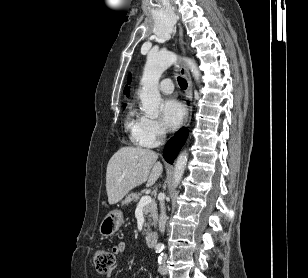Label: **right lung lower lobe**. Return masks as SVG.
I'll list each match as a JSON object with an SVG mask.
<instances>
[{"label":"right lung lower lobe","mask_w":308,"mask_h":278,"mask_svg":"<svg viewBox=\"0 0 308 278\" xmlns=\"http://www.w3.org/2000/svg\"><path fill=\"white\" fill-rule=\"evenodd\" d=\"M187 137L188 130L183 128L179 130V132L167 142L163 151V156L168 163H173L180 149L184 145Z\"/></svg>","instance_id":"right-lung-lower-lobe-1"}]
</instances>
